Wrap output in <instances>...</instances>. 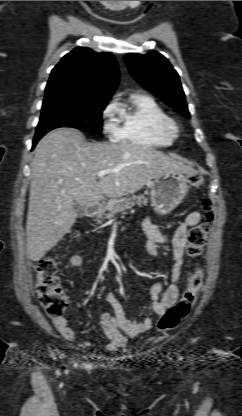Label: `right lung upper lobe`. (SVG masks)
<instances>
[{"label":"right lung upper lobe","instance_id":"right-lung-upper-lobe-1","mask_svg":"<svg viewBox=\"0 0 242 416\" xmlns=\"http://www.w3.org/2000/svg\"><path fill=\"white\" fill-rule=\"evenodd\" d=\"M118 82L119 70L111 53L77 47L52 69L45 97L110 99Z\"/></svg>","mask_w":242,"mask_h":416}]
</instances>
